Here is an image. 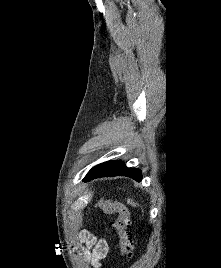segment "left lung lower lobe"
<instances>
[{"label": "left lung lower lobe", "instance_id": "0a47b994", "mask_svg": "<svg viewBox=\"0 0 221 268\" xmlns=\"http://www.w3.org/2000/svg\"><path fill=\"white\" fill-rule=\"evenodd\" d=\"M105 176H128L136 181L142 180L141 171L139 169L127 168L123 162L109 161L101 163L93 167L85 176V181Z\"/></svg>", "mask_w": 221, "mask_h": 268}]
</instances>
